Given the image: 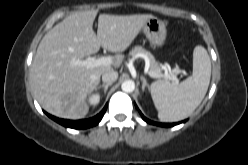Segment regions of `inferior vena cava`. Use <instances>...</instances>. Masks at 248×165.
<instances>
[{"label":"inferior vena cava","mask_w":248,"mask_h":165,"mask_svg":"<svg viewBox=\"0 0 248 165\" xmlns=\"http://www.w3.org/2000/svg\"><path fill=\"white\" fill-rule=\"evenodd\" d=\"M117 78H118V73L113 69L106 71L105 73L102 74V81L106 84L108 83L112 84L117 80Z\"/></svg>","instance_id":"602c4592"}]
</instances>
